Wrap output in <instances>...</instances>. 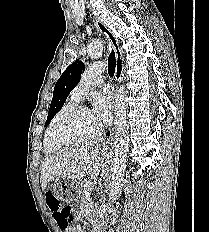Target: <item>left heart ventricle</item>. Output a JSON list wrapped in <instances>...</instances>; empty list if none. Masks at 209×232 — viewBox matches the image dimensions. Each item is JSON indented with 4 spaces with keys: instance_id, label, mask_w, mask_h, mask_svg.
Returning <instances> with one entry per match:
<instances>
[{
    "instance_id": "obj_1",
    "label": "left heart ventricle",
    "mask_w": 209,
    "mask_h": 232,
    "mask_svg": "<svg viewBox=\"0 0 209 232\" xmlns=\"http://www.w3.org/2000/svg\"><path fill=\"white\" fill-rule=\"evenodd\" d=\"M91 109L87 108L75 117L59 124L56 134L60 137H78L93 133L99 127Z\"/></svg>"
}]
</instances>
